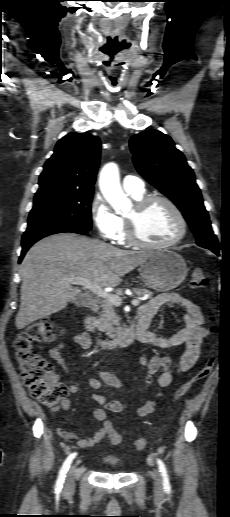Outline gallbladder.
I'll use <instances>...</instances> for the list:
<instances>
[{
  "label": "gallbladder",
  "instance_id": "bac80fb5",
  "mask_svg": "<svg viewBox=\"0 0 230 517\" xmlns=\"http://www.w3.org/2000/svg\"><path fill=\"white\" fill-rule=\"evenodd\" d=\"M76 304L79 305V306H82L85 304V301H84V298H82L81 296H79L76 300Z\"/></svg>",
  "mask_w": 230,
  "mask_h": 517
}]
</instances>
